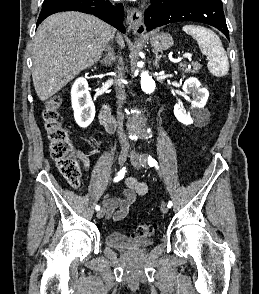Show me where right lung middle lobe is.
<instances>
[{"mask_svg":"<svg viewBox=\"0 0 259 294\" xmlns=\"http://www.w3.org/2000/svg\"><path fill=\"white\" fill-rule=\"evenodd\" d=\"M49 1H51V0H44L43 4H44V3H47V2H49Z\"/></svg>","mask_w":259,"mask_h":294,"instance_id":"right-lung-middle-lobe-1","label":"right lung middle lobe"}]
</instances>
